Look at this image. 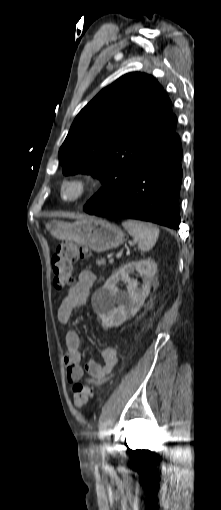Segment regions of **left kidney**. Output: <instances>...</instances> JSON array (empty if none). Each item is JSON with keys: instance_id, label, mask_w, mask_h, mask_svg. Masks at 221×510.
Listing matches in <instances>:
<instances>
[{"instance_id": "1", "label": "left kidney", "mask_w": 221, "mask_h": 510, "mask_svg": "<svg viewBox=\"0 0 221 510\" xmlns=\"http://www.w3.org/2000/svg\"><path fill=\"white\" fill-rule=\"evenodd\" d=\"M136 271L143 284L129 277ZM157 271V264L152 259L132 261L114 271L106 283L92 297V306L102 320L103 328L117 327L135 316L149 294L152 280ZM119 281L127 283V291H120L116 286Z\"/></svg>"}]
</instances>
